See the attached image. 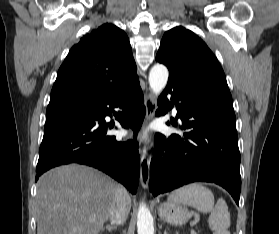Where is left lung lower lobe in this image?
<instances>
[{
  "instance_id": "obj_1",
  "label": "left lung lower lobe",
  "mask_w": 279,
  "mask_h": 234,
  "mask_svg": "<svg viewBox=\"0 0 279 234\" xmlns=\"http://www.w3.org/2000/svg\"><path fill=\"white\" fill-rule=\"evenodd\" d=\"M172 103L185 132L167 139L156 134L155 155L165 153L162 160L151 161L149 190L157 196L194 181L213 182L224 187L239 205L240 152L232 97L187 84L169 74L156 116L164 115ZM172 124L177 126V122Z\"/></svg>"
}]
</instances>
